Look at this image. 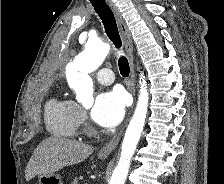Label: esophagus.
Here are the masks:
<instances>
[{"mask_svg":"<svg viewBox=\"0 0 224 184\" xmlns=\"http://www.w3.org/2000/svg\"><path fill=\"white\" fill-rule=\"evenodd\" d=\"M109 7L111 8V10L114 13V16L116 18V22L117 25L119 27V31L123 40V43L125 45V49L127 52V56H128V61H129V65H130V84H129V90L131 91V93L133 94V96H135V70H134V56H133V42H132V37H131V33L126 25V22L119 10V8L116 6V4L112 1V0H106ZM134 106V104H133ZM133 106L125 120V122L123 123V125L118 129V131L116 132V134L109 140V142L107 144H105L100 150H99V155L101 156H107L109 155L118 145L123 132L126 128V125L128 123L130 114L132 112Z\"/></svg>","mask_w":224,"mask_h":184,"instance_id":"esophagus-1","label":"esophagus"}]
</instances>
